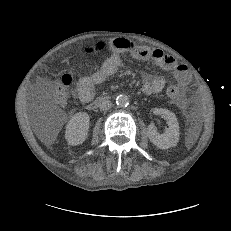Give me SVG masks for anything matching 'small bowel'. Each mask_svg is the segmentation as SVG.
Returning a JSON list of instances; mask_svg holds the SVG:
<instances>
[{
    "mask_svg": "<svg viewBox=\"0 0 231 231\" xmlns=\"http://www.w3.org/2000/svg\"><path fill=\"white\" fill-rule=\"evenodd\" d=\"M111 46L112 52L103 60L101 69L78 80L76 93L81 101L89 102L94 97L96 87L105 83L122 66L125 54H129L135 59L152 61L164 70L173 71L178 84L182 88H186L191 80L187 67L178 63L174 57L162 50H152L148 47L139 46L132 40L123 37L112 40ZM164 87L165 80L163 78L151 74L144 75L142 85L144 94L159 93Z\"/></svg>",
    "mask_w": 231,
    "mask_h": 231,
    "instance_id": "small-bowel-1",
    "label": "small bowel"
}]
</instances>
